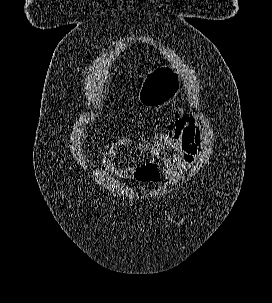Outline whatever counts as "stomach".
Returning a JSON list of instances; mask_svg holds the SVG:
<instances>
[{
  "label": "stomach",
  "instance_id": "0dacf381",
  "mask_svg": "<svg viewBox=\"0 0 272 303\" xmlns=\"http://www.w3.org/2000/svg\"><path fill=\"white\" fill-rule=\"evenodd\" d=\"M180 85V76L173 67H158L144 78L138 101L146 108L161 107L176 97Z\"/></svg>",
  "mask_w": 272,
  "mask_h": 303
}]
</instances>
